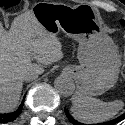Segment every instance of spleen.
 <instances>
[{"instance_id": "obj_1", "label": "spleen", "mask_w": 125, "mask_h": 125, "mask_svg": "<svg viewBox=\"0 0 125 125\" xmlns=\"http://www.w3.org/2000/svg\"><path fill=\"white\" fill-rule=\"evenodd\" d=\"M124 106L122 100L103 102L82 91H77L71 107L72 115L84 123H99L113 118Z\"/></svg>"}]
</instances>
